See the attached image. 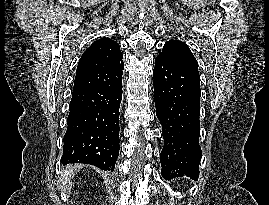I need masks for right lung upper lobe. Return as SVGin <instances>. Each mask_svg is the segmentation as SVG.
<instances>
[{
  "label": "right lung upper lobe",
  "instance_id": "1",
  "mask_svg": "<svg viewBox=\"0 0 269 205\" xmlns=\"http://www.w3.org/2000/svg\"><path fill=\"white\" fill-rule=\"evenodd\" d=\"M122 58L117 42L109 38L94 41L79 60L73 90L100 88L120 81Z\"/></svg>",
  "mask_w": 269,
  "mask_h": 205
}]
</instances>
